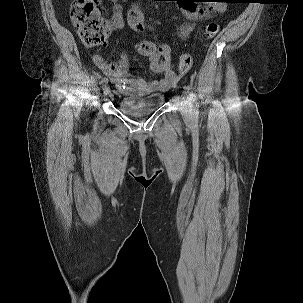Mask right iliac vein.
<instances>
[{
	"label": "right iliac vein",
	"mask_w": 303,
	"mask_h": 303,
	"mask_svg": "<svg viewBox=\"0 0 303 303\" xmlns=\"http://www.w3.org/2000/svg\"><path fill=\"white\" fill-rule=\"evenodd\" d=\"M109 90H110V88H109V86L107 84L105 86H103V92H104V94H108Z\"/></svg>",
	"instance_id": "obj_1"
}]
</instances>
